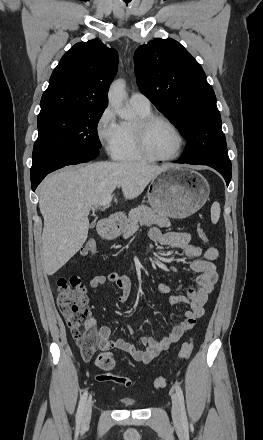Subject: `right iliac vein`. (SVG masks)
Masks as SVG:
<instances>
[{"mask_svg":"<svg viewBox=\"0 0 263 440\" xmlns=\"http://www.w3.org/2000/svg\"><path fill=\"white\" fill-rule=\"evenodd\" d=\"M92 402L89 400L84 408L82 416V425L87 426L91 419Z\"/></svg>","mask_w":263,"mask_h":440,"instance_id":"1","label":"right iliac vein"}]
</instances>
